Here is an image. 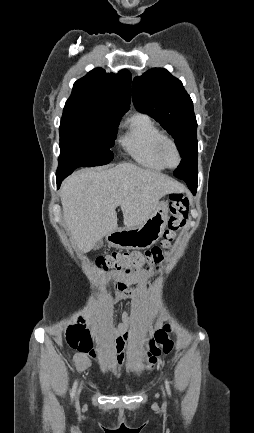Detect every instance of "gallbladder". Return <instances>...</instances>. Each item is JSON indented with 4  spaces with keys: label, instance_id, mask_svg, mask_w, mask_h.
<instances>
[{
    "label": "gallbladder",
    "instance_id": "bac80fb5",
    "mask_svg": "<svg viewBox=\"0 0 254 433\" xmlns=\"http://www.w3.org/2000/svg\"><path fill=\"white\" fill-rule=\"evenodd\" d=\"M103 246V242L102 240H100L99 242H97V244L95 245V249H99Z\"/></svg>",
    "mask_w": 254,
    "mask_h": 433
}]
</instances>
